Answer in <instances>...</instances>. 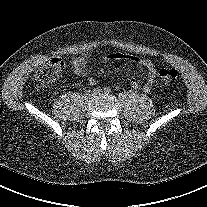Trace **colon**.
I'll return each instance as SVG.
<instances>
[{"mask_svg": "<svg viewBox=\"0 0 207 207\" xmlns=\"http://www.w3.org/2000/svg\"><path fill=\"white\" fill-rule=\"evenodd\" d=\"M65 68V63L60 58H52L43 65L34 76V83L37 87H49L58 79ZM162 82L166 85H173L178 77L175 69H162L159 72Z\"/></svg>", "mask_w": 207, "mask_h": 207, "instance_id": "1", "label": "colon"}]
</instances>
